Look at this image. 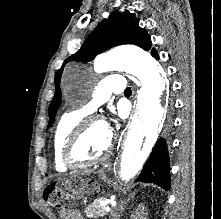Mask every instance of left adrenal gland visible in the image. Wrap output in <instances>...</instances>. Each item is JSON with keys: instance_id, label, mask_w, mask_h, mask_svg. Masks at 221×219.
<instances>
[{"instance_id": "left-adrenal-gland-1", "label": "left adrenal gland", "mask_w": 221, "mask_h": 219, "mask_svg": "<svg viewBox=\"0 0 221 219\" xmlns=\"http://www.w3.org/2000/svg\"><path fill=\"white\" fill-rule=\"evenodd\" d=\"M132 195H130L129 196V198L126 200V202L125 201H122L121 202V204L118 206V211L119 212H114L113 214H112V219H119L120 218V216H122V213H123V211H124V205L130 200V197H131Z\"/></svg>"}]
</instances>
